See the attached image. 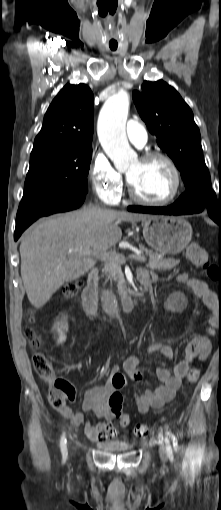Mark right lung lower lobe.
<instances>
[{
    "label": "right lung lower lobe",
    "instance_id": "right-lung-lower-lobe-1",
    "mask_svg": "<svg viewBox=\"0 0 221 510\" xmlns=\"http://www.w3.org/2000/svg\"><path fill=\"white\" fill-rule=\"evenodd\" d=\"M85 197H86V195L80 196L75 199L66 201L64 203H61V204H58V205H55L52 207H48L47 209H45V210L41 211L40 213L33 215V216H31L27 212H20V210H18L17 217H16V228H15V232H14V240L17 241V239L20 237L22 232L38 218L43 217V216H48V215L58 213V212H65V211H70V210L76 209L82 205V203L85 200Z\"/></svg>",
    "mask_w": 221,
    "mask_h": 510
}]
</instances>
